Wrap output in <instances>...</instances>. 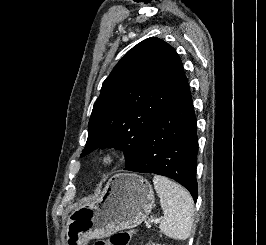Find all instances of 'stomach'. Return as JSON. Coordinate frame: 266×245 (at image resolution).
Returning a JSON list of instances; mask_svg holds the SVG:
<instances>
[{
  "label": "stomach",
  "instance_id": "obj_1",
  "mask_svg": "<svg viewBox=\"0 0 266 245\" xmlns=\"http://www.w3.org/2000/svg\"><path fill=\"white\" fill-rule=\"evenodd\" d=\"M153 189L140 175L118 173L105 185L93 205L73 211L67 221V245H87L123 229H135L151 213Z\"/></svg>",
  "mask_w": 266,
  "mask_h": 245
}]
</instances>
